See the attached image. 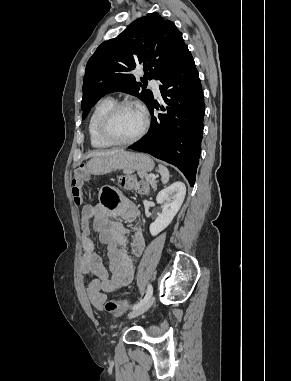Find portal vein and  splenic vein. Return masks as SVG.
Returning a JSON list of instances; mask_svg holds the SVG:
<instances>
[{"label": "portal vein and splenic vein", "mask_w": 291, "mask_h": 381, "mask_svg": "<svg viewBox=\"0 0 291 381\" xmlns=\"http://www.w3.org/2000/svg\"><path fill=\"white\" fill-rule=\"evenodd\" d=\"M149 177H151V178H155V175H153V174H149Z\"/></svg>", "instance_id": "1"}]
</instances>
